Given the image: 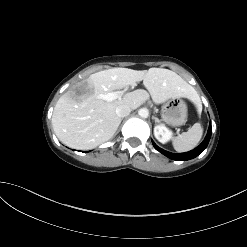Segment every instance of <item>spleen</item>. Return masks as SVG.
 Returning <instances> with one entry per match:
<instances>
[{"label": "spleen", "instance_id": "1", "mask_svg": "<svg viewBox=\"0 0 247 247\" xmlns=\"http://www.w3.org/2000/svg\"><path fill=\"white\" fill-rule=\"evenodd\" d=\"M195 101L198 112H201V103ZM203 135V128L200 123H195L187 132H184L173 139V147L177 152H187L195 148Z\"/></svg>", "mask_w": 247, "mask_h": 247}]
</instances>
